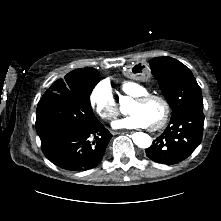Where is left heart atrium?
<instances>
[{"label":"left heart atrium","instance_id":"obj_1","mask_svg":"<svg viewBox=\"0 0 221 221\" xmlns=\"http://www.w3.org/2000/svg\"><path fill=\"white\" fill-rule=\"evenodd\" d=\"M113 127L127 129L145 128L148 127V123L140 114L131 113L125 118L115 121Z\"/></svg>","mask_w":221,"mask_h":221}]
</instances>
